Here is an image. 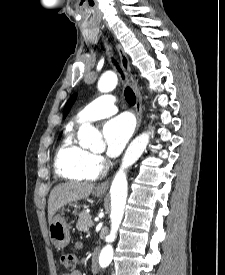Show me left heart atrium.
<instances>
[{"mask_svg":"<svg viewBox=\"0 0 225 275\" xmlns=\"http://www.w3.org/2000/svg\"><path fill=\"white\" fill-rule=\"evenodd\" d=\"M134 130L132 119L128 115H119L107 121L103 134L110 157L118 156L130 139Z\"/></svg>","mask_w":225,"mask_h":275,"instance_id":"1","label":"left heart atrium"}]
</instances>
